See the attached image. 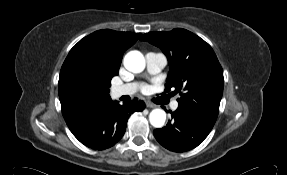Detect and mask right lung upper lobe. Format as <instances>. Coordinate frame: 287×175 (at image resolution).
Returning a JSON list of instances; mask_svg holds the SVG:
<instances>
[{
    "instance_id": "1",
    "label": "right lung upper lobe",
    "mask_w": 287,
    "mask_h": 175,
    "mask_svg": "<svg viewBox=\"0 0 287 175\" xmlns=\"http://www.w3.org/2000/svg\"><path fill=\"white\" fill-rule=\"evenodd\" d=\"M140 35V33L117 32L110 29L99 30L81 39L70 50L62 65L58 83L59 98L65 120L86 112L72 113L65 105L64 92L75 65L81 60L88 62L93 73L109 90L112 77L118 74L124 51L131 47ZM109 98L108 95L92 107Z\"/></svg>"
}]
</instances>
